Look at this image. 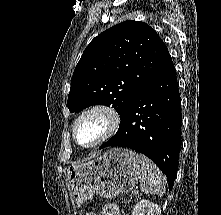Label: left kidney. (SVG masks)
I'll list each match as a JSON object with an SVG mask.
<instances>
[{"label":"left kidney","mask_w":221,"mask_h":215,"mask_svg":"<svg viewBox=\"0 0 221 215\" xmlns=\"http://www.w3.org/2000/svg\"><path fill=\"white\" fill-rule=\"evenodd\" d=\"M132 215H161V209L149 200H140L134 206Z\"/></svg>","instance_id":"5707ae66"}]
</instances>
